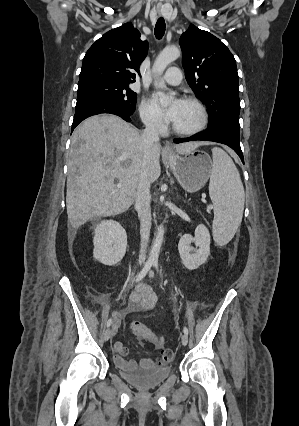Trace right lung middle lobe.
Masks as SVG:
<instances>
[{
    "mask_svg": "<svg viewBox=\"0 0 299 426\" xmlns=\"http://www.w3.org/2000/svg\"><path fill=\"white\" fill-rule=\"evenodd\" d=\"M136 96L128 84L91 83L78 86L77 100L83 97H98L112 101L125 109L134 110Z\"/></svg>",
    "mask_w": 299,
    "mask_h": 426,
    "instance_id": "right-lung-middle-lobe-1",
    "label": "right lung middle lobe"
}]
</instances>
